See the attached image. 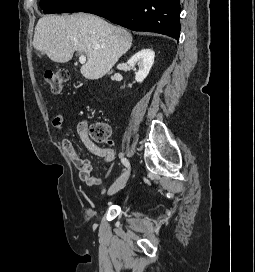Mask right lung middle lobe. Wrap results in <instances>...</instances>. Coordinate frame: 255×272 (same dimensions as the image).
<instances>
[{
  "instance_id": "dd1d6c3e",
  "label": "right lung middle lobe",
  "mask_w": 255,
  "mask_h": 272,
  "mask_svg": "<svg viewBox=\"0 0 255 272\" xmlns=\"http://www.w3.org/2000/svg\"><path fill=\"white\" fill-rule=\"evenodd\" d=\"M97 0H41L40 7L46 14L81 12Z\"/></svg>"
}]
</instances>
